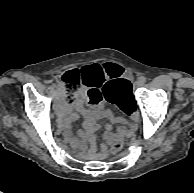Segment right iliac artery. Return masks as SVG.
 Listing matches in <instances>:
<instances>
[{
	"mask_svg": "<svg viewBox=\"0 0 194 193\" xmlns=\"http://www.w3.org/2000/svg\"><path fill=\"white\" fill-rule=\"evenodd\" d=\"M57 86H58V89H59V88L61 87V84H59V83H58V85H57Z\"/></svg>",
	"mask_w": 194,
	"mask_h": 193,
	"instance_id": "82829eb1",
	"label": "right iliac artery"
}]
</instances>
